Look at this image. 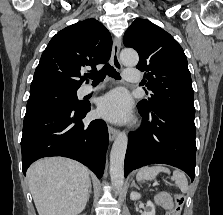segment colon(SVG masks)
<instances>
[{"instance_id":"obj_1","label":"colon","mask_w":223,"mask_h":215,"mask_svg":"<svg viewBox=\"0 0 223 215\" xmlns=\"http://www.w3.org/2000/svg\"><path fill=\"white\" fill-rule=\"evenodd\" d=\"M185 203V196L181 193L175 196V203L171 210H169L166 215H179L183 205Z\"/></svg>"}]
</instances>
